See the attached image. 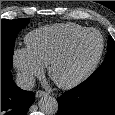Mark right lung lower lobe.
Masks as SVG:
<instances>
[{"instance_id":"obj_1","label":"right lung lower lobe","mask_w":115,"mask_h":115,"mask_svg":"<svg viewBox=\"0 0 115 115\" xmlns=\"http://www.w3.org/2000/svg\"><path fill=\"white\" fill-rule=\"evenodd\" d=\"M34 93L20 89L9 69H1V115H27Z\"/></svg>"}]
</instances>
